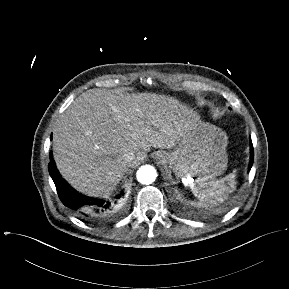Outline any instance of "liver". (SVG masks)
Segmentation results:
<instances>
[{"instance_id": "obj_1", "label": "liver", "mask_w": 289, "mask_h": 289, "mask_svg": "<svg viewBox=\"0 0 289 289\" xmlns=\"http://www.w3.org/2000/svg\"><path fill=\"white\" fill-rule=\"evenodd\" d=\"M193 114L165 95L88 90L70 104L54 127L56 166L79 192L106 197L128 170L126 154L134 153L139 162L151 147H175Z\"/></svg>"}]
</instances>
